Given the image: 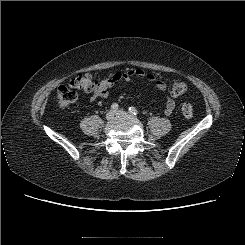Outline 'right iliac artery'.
I'll return each mask as SVG.
<instances>
[{"label": "right iliac artery", "instance_id": "1", "mask_svg": "<svg viewBox=\"0 0 245 245\" xmlns=\"http://www.w3.org/2000/svg\"><path fill=\"white\" fill-rule=\"evenodd\" d=\"M118 104L117 103H113L112 105H111V109H113V110H117L118 109Z\"/></svg>", "mask_w": 245, "mask_h": 245}]
</instances>
